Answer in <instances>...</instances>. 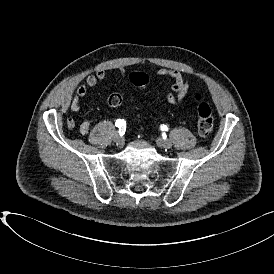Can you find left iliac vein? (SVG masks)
<instances>
[{"instance_id":"left-iliac-vein-1","label":"left iliac vein","mask_w":274,"mask_h":274,"mask_svg":"<svg viewBox=\"0 0 274 274\" xmlns=\"http://www.w3.org/2000/svg\"><path fill=\"white\" fill-rule=\"evenodd\" d=\"M157 143L159 144V146H161L164 149H170L172 147V141L169 139L164 140L159 138L157 140Z\"/></svg>"}]
</instances>
